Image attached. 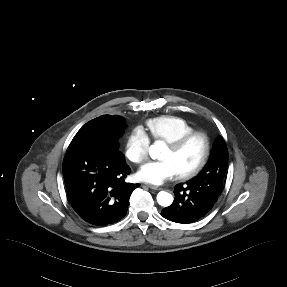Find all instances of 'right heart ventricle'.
<instances>
[{
    "instance_id": "e07e8e85",
    "label": "right heart ventricle",
    "mask_w": 287,
    "mask_h": 287,
    "mask_svg": "<svg viewBox=\"0 0 287 287\" xmlns=\"http://www.w3.org/2000/svg\"><path fill=\"white\" fill-rule=\"evenodd\" d=\"M146 127L151 139L171 143L182 136L195 131L193 125L184 117L162 115L146 121Z\"/></svg>"
}]
</instances>
